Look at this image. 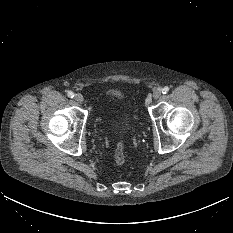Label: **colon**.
Returning a JSON list of instances; mask_svg holds the SVG:
<instances>
[{"label": "colon", "instance_id": "5ec220e1", "mask_svg": "<svg viewBox=\"0 0 233 233\" xmlns=\"http://www.w3.org/2000/svg\"><path fill=\"white\" fill-rule=\"evenodd\" d=\"M114 160L118 165H122L125 163L126 156L124 152V145L120 142L118 143L114 155Z\"/></svg>", "mask_w": 233, "mask_h": 233}]
</instances>
